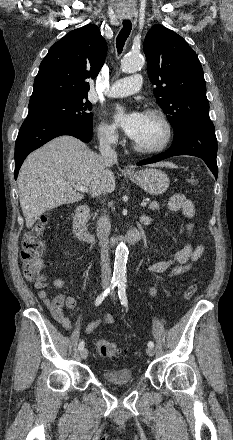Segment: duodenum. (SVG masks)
Segmentation results:
<instances>
[{"instance_id":"1","label":"duodenum","mask_w":233,"mask_h":440,"mask_svg":"<svg viewBox=\"0 0 233 440\" xmlns=\"http://www.w3.org/2000/svg\"><path fill=\"white\" fill-rule=\"evenodd\" d=\"M90 212L91 211L89 207H78L73 217L72 226H73V232L78 240L84 243L93 244L95 243V239L89 233L86 227V223L90 216ZM149 224H150V219L146 216H143L140 218L138 223L126 233V235L112 240L111 243L117 244L123 241V242H127L130 245H134L141 240L143 235V230Z\"/></svg>"}]
</instances>
